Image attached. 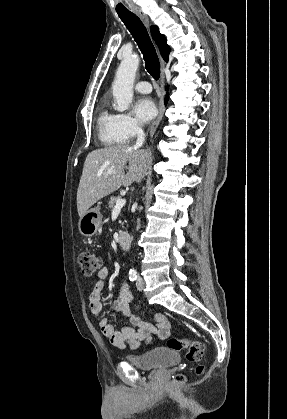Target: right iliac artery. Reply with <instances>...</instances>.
Masks as SVG:
<instances>
[{
  "label": "right iliac artery",
  "instance_id": "1",
  "mask_svg": "<svg viewBox=\"0 0 287 419\" xmlns=\"http://www.w3.org/2000/svg\"><path fill=\"white\" fill-rule=\"evenodd\" d=\"M138 277L137 271L136 270H130L129 271V279L131 281H135Z\"/></svg>",
  "mask_w": 287,
  "mask_h": 419
}]
</instances>
